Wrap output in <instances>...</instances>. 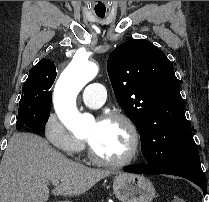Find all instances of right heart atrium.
<instances>
[{"label": "right heart atrium", "mask_w": 209, "mask_h": 202, "mask_svg": "<svg viewBox=\"0 0 209 202\" xmlns=\"http://www.w3.org/2000/svg\"><path fill=\"white\" fill-rule=\"evenodd\" d=\"M45 137L68 156L77 155L84 147V140L72 134L55 115L47 120Z\"/></svg>", "instance_id": "obj_1"}]
</instances>
